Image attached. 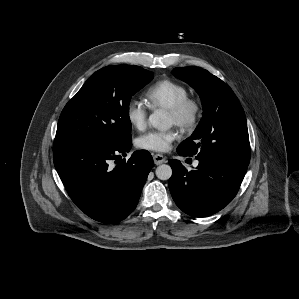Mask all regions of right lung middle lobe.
Wrapping results in <instances>:
<instances>
[{
	"instance_id": "obj_1",
	"label": "right lung middle lobe",
	"mask_w": 299,
	"mask_h": 299,
	"mask_svg": "<svg viewBox=\"0 0 299 299\" xmlns=\"http://www.w3.org/2000/svg\"><path fill=\"white\" fill-rule=\"evenodd\" d=\"M154 74L135 65L107 66L96 71L64 107L55 140L107 146L131 136V97Z\"/></svg>"
}]
</instances>
